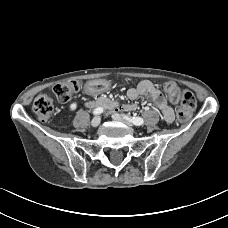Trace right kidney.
<instances>
[{
	"label": "right kidney",
	"mask_w": 228,
	"mask_h": 228,
	"mask_svg": "<svg viewBox=\"0 0 228 228\" xmlns=\"http://www.w3.org/2000/svg\"><path fill=\"white\" fill-rule=\"evenodd\" d=\"M76 108H77V103L76 102L71 103L70 106H69V109L71 111H74Z\"/></svg>",
	"instance_id": "right-kidney-1"
}]
</instances>
